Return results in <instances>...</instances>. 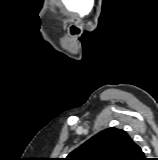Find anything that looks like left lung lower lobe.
<instances>
[{
  "instance_id": "obj_1",
  "label": "left lung lower lobe",
  "mask_w": 158,
  "mask_h": 160,
  "mask_svg": "<svg viewBox=\"0 0 158 160\" xmlns=\"http://www.w3.org/2000/svg\"><path fill=\"white\" fill-rule=\"evenodd\" d=\"M130 160H146V158L144 157V153L138 145L135 146L133 155Z\"/></svg>"
}]
</instances>
